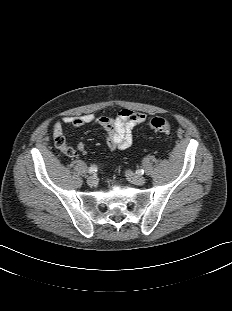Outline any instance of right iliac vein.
<instances>
[{"instance_id": "1", "label": "right iliac vein", "mask_w": 232, "mask_h": 311, "mask_svg": "<svg viewBox=\"0 0 232 311\" xmlns=\"http://www.w3.org/2000/svg\"><path fill=\"white\" fill-rule=\"evenodd\" d=\"M97 182H98L97 177L94 176V175L89 176V177L87 178V184H88L89 186H95V185L97 184Z\"/></svg>"}]
</instances>
